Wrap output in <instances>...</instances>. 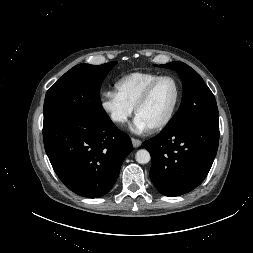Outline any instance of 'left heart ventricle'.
<instances>
[{
	"label": "left heart ventricle",
	"instance_id": "obj_1",
	"mask_svg": "<svg viewBox=\"0 0 253 253\" xmlns=\"http://www.w3.org/2000/svg\"><path fill=\"white\" fill-rule=\"evenodd\" d=\"M176 97V86L171 79L161 81L148 102L139 110V117L149 128L162 122L169 114Z\"/></svg>",
	"mask_w": 253,
	"mask_h": 253
}]
</instances>
